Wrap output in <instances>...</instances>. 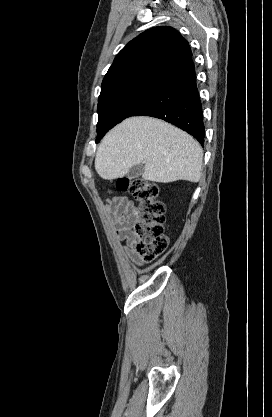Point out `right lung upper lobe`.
Listing matches in <instances>:
<instances>
[{"instance_id":"cb5924a9","label":"right lung upper lobe","mask_w":272,"mask_h":417,"mask_svg":"<svg viewBox=\"0 0 272 417\" xmlns=\"http://www.w3.org/2000/svg\"><path fill=\"white\" fill-rule=\"evenodd\" d=\"M192 63L188 42L172 27L151 28L130 41L106 73L98 100L117 91L140 86H162Z\"/></svg>"}]
</instances>
